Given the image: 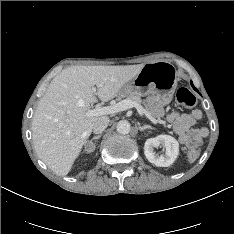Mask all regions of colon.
Returning <instances> with one entry per match:
<instances>
[{
	"label": "colon",
	"instance_id": "colon-1",
	"mask_svg": "<svg viewBox=\"0 0 234 234\" xmlns=\"http://www.w3.org/2000/svg\"><path fill=\"white\" fill-rule=\"evenodd\" d=\"M176 102L185 108H191L196 103L194 94L187 88L181 87L176 92ZM200 155V149L196 146H191L188 151L190 160H196Z\"/></svg>",
	"mask_w": 234,
	"mask_h": 234
}]
</instances>
